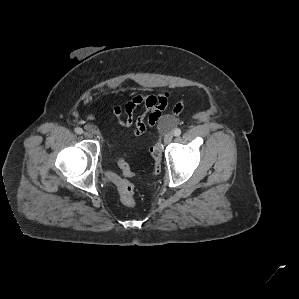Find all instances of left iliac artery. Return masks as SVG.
<instances>
[{"instance_id": "1", "label": "left iliac artery", "mask_w": 299, "mask_h": 299, "mask_svg": "<svg viewBox=\"0 0 299 299\" xmlns=\"http://www.w3.org/2000/svg\"><path fill=\"white\" fill-rule=\"evenodd\" d=\"M181 134V129L180 128H176L175 130H174V135L175 136H179Z\"/></svg>"}]
</instances>
